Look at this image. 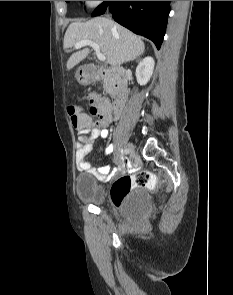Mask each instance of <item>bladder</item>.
<instances>
[{"label":"bladder","mask_w":233,"mask_h":295,"mask_svg":"<svg viewBox=\"0 0 233 295\" xmlns=\"http://www.w3.org/2000/svg\"><path fill=\"white\" fill-rule=\"evenodd\" d=\"M75 190L78 198L83 202L102 204L105 200L104 186L90 175L78 176ZM127 206L134 217H145L152 208L151 196L146 189L140 188L130 197Z\"/></svg>","instance_id":"bladder-1"}]
</instances>
